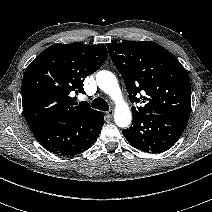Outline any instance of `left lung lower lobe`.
Returning <instances> with one entry per match:
<instances>
[{"mask_svg": "<svg viewBox=\"0 0 212 212\" xmlns=\"http://www.w3.org/2000/svg\"><path fill=\"white\" fill-rule=\"evenodd\" d=\"M187 122L188 118L180 116L143 114L133 116V125L122 133L136 149L148 153H162L177 142Z\"/></svg>", "mask_w": 212, "mask_h": 212, "instance_id": "left-lung-lower-lobe-1", "label": "left lung lower lobe"}]
</instances>
